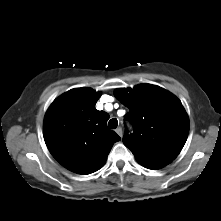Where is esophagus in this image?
Segmentation results:
<instances>
[{"label": "esophagus", "mask_w": 221, "mask_h": 221, "mask_svg": "<svg viewBox=\"0 0 221 221\" xmlns=\"http://www.w3.org/2000/svg\"><path fill=\"white\" fill-rule=\"evenodd\" d=\"M116 133L122 138L123 130H122L121 127H118V128L116 129Z\"/></svg>", "instance_id": "obj_1"}]
</instances>
